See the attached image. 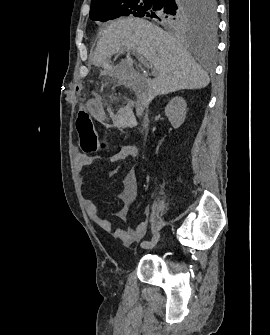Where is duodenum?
I'll list each match as a JSON object with an SVG mask.
<instances>
[{
	"label": "duodenum",
	"mask_w": 270,
	"mask_h": 335,
	"mask_svg": "<svg viewBox=\"0 0 270 335\" xmlns=\"http://www.w3.org/2000/svg\"><path fill=\"white\" fill-rule=\"evenodd\" d=\"M148 126H149V119L146 118L143 122V127H144L145 130H147Z\"/></svg>",
	"instance_id": "1"
}]
</instances>
